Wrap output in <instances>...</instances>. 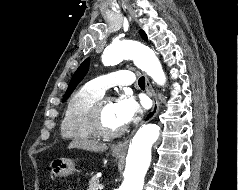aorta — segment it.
Instances as JSON below:
<instances>
[{"mask_svg": "<svg viewBox=\"0 0 238 190\" xmlns=\"http://www.w3.org/2000/svg\"><path fill=\"white\" fill-rule=\"evenodd\" d=\"M124 59H132L157 84L164 85L166 77L161 63L147 46L134 40H115L102 55L105 66L116 65ZM159 135L156 124H146L138 129L129 145L124 181L118 190L143 189L144 178L151 162V149Z\"/></svg>", "mask_w": 238, "mask_h": 190, "instance_id": "aorta-1", "label": "aorta"}]
</instances>
